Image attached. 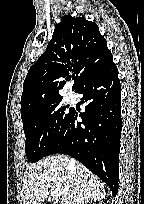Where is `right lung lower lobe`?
<instances>
[{"mask_svg":"<svg viewBox=\"0 0 144 204\" xmlns=\"http://www.w3.org/2000/svg\"><path fill=\"white\" fill-rule=\"evenodd\" d=\"M76 93L83 94L85 112L71 111L46 156H72L104 181L116 196L118 191L121 119V85L118 70L109 61L92 74Z\"/></svg>","mask_w":144,"mask_h":204,"instance_id":"obj_1","label":"right lung lower lobe"}]
</instances>
